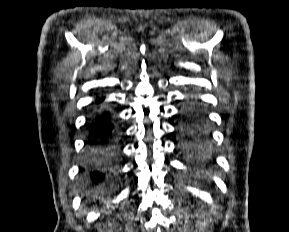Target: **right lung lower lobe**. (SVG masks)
<instances>
[{
    "mask_svg": "<svg viewBox=\"0 0 289 232\" xmlns=\"http://www.w3.org/2000/svg\"><path fill=\"white\" fill-rule=\"evenodd\" d=\"M104 98L98 99L102 102ZM88 139L84 170L89 174L92 183L97 184L105 176V170L117 159L119 128L114 124L110 112L102 106L94 108L88 123Z\"/></svg>",
    "mask_w": 289,
    "mask_h": 232,
    "instance_id": "right-lung-lower-lobe-1",
    "label": "right lung lower lobe"
}]
</instances>
